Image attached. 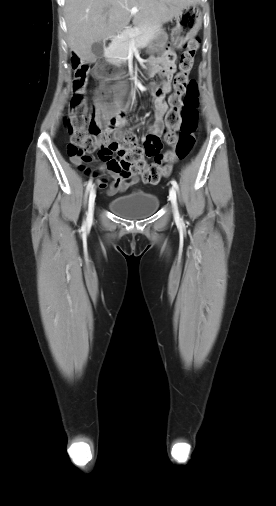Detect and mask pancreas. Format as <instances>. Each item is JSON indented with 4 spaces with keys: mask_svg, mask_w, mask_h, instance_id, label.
Returning <instances> with one entry per match:
<instances>
[{
    "mask_svg": "<svg viewBox=\"0 0 276 506\" xmlns=\"http://www.w3.org/2000/svg\"><path fill=\"white\" fill-rule=\"evenodd\" d=\"M159 32L160 26L158 25H138L135 28L126 29L114 39L106 52V56L113 62L124 61L127 59L132 41L138 47H145Z\"/></svg>",
    "mask_w": 276,
    "mask_h": 506,
    "instance_id": "pancreas-1",
    "label": "pancreas"
}]
</instances>
